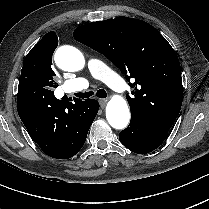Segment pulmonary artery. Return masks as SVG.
Listing matches in <instances>:
<instances>
[{
  "instance_id": "obj_1",
  "label": "pulmonary artery",
  "mask_w": 209,
  "mask_h": 209,
  "mask_svg": "<svg viewBox=\"0 0 209 209\" xmlns=\"http://www.w3.org/2000/svg\"><path fill=\"white\" fill-rule=\"evenodd\" d=\"M88 76L79 77L74 81H67L63 84L66 93L83 90L89 85V78L107 83L115 92H120L122 81L117 73L99 58H90L87 63Z\"/></svg>"
}]
</instances>
